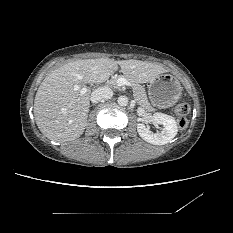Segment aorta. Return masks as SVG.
I'll use <instances>...</instances> for the list:
<instances>
[{"mask_svg":"<svg viewBox=\"0 0 233 233\" xmlns=\"http://www.w3.org/2000/svg\"><path fill=\"white\" fill-rule=\"evenodd\" d=\"M117 102L120 106H127L128 98L126 96H119Z\"/></svg>","mask_w":233,"mask_h":233,"instance_id":"1","label":"aorta"}]
</instances>
